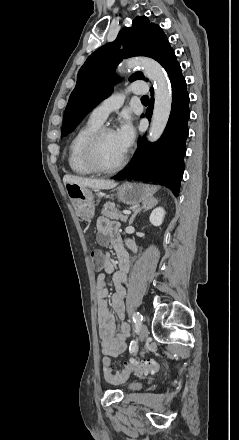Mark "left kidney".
Returning a JSON list of instances; mask_svg holds the SVG:
<instances>
[{
	"label": "left kidney",
	"mask_w": 239,
	"mask_h": 440,
	"mask_svg": "<svg viewBox=\"0 0 239 440\" xmlns=\"http://www.w3.org/2000/svg\"><path fill=\"white\" fill-rule=\"evenodd\" d=\"M166 212H164L163 208H155L152 214H150V222L153 226H161L163 224L164 216Z\"/></svg>",
	"instance_id": "1"
}]
</instances>
